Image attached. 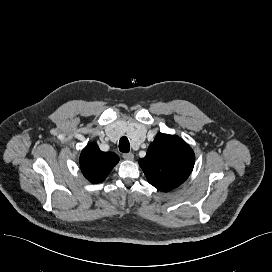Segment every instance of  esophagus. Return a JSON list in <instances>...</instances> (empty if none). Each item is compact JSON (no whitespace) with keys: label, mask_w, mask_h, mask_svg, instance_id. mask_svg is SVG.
I'll return each instance as SVG.
<instances>
[{"label":"esophagus","mask_w":272,"mask_h":272,"mask_svg":"<svg viewBox=\"0 0 272 272\" xmlns=\"http://www.w3.org/2000/svg\"><path fill=\"white\" fill-rule=\"evenodd\" d=\"M123 158L125 160L131 161L134 159V155L132 153H125V154H123Z\"/></svg>","instance_id":"obj_1"}]
</instances>
